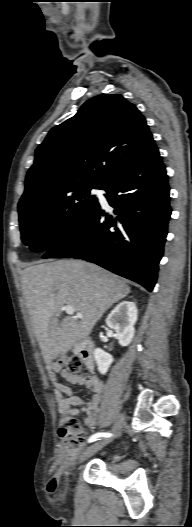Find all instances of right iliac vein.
<instances>
[{"label":"right iliac vein","mask_w":192,"mask_h":527,"mask_svg":"<svg viewBox=\"0 0 192 527\" xmlns=\"http://www.w3.org/2000/svg\"><path fill=\"white\" fill-rule=\"evenodd\" d=\"M122 423H123V416L119 415L117 417L115 423H114L113 430H112L114 436H117V434L121 430ZM112 440H113V438H105V439H102V440L96 442L95 444L91 445L90 447H88L87 450L82 455L81 461H85L86 459H88L89 457L94 455L96 452L101 450L105 445L110 443Z\"/></svg>","instance_id":"obj_1"}]
</instances>
